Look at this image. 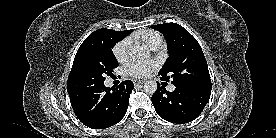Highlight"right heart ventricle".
I'll use <instances>...</instances> for the list:
<instances>
[{"mask_svg": "<svg viewBox=\"0 0 276 138\" xmlns=\"http://www.w3.org/2000/svg\"><path fill=\"white\" fill-rule=\"evenodd\" d=\"M133 38L144 43L150 49H157L161 46L163 39L162 36L154 30H143L134 34Z\"/></svg>", "mask_w": 276, "mask_h": 138, "instance_id": "obj_1", "label": "right heart ventricle"}]
</instances>
